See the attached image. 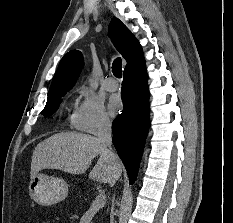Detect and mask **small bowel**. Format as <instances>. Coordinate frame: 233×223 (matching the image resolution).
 Wrapping results in <instances>:
<instances>
[{
  "label": "small bowel",
  "instance_id": "1",
  "mask_svg": "<svg viewBox=\"0 0 233 223\" xmlns=\"http://www.w3.org/2000/svg\"><path fill=\"white\" fill-rule=\"evenodd\" d=\"M81 223H87L86 217H83Z\"/></svg>",
  "mask_w": 233,
  "mask_h": 223
}]
</instances>
